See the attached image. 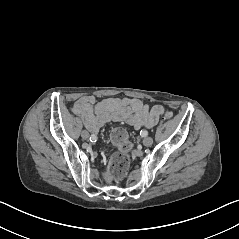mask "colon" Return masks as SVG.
<instances>
[{
  "instance_id": "1",
  "label": "colon",
  "mask_w": 239,
  "mask_h": 239,
  "mask_svg": "<svg viewBox=\"0 0 239 239\" xmlns=\"http://www.w3.org/2000/svg\"><path fill=\"white\" fill-rule=\"evenodd\" d=\"M164 117L165 119H171L173 113L166 111ZM109 136L111 142L118 147V152L110 159L107 175L111 179H117L128 171L130 164L129 152L132 146L127 131L122 127H112Z\"/></svg>"
}]
</instances>
